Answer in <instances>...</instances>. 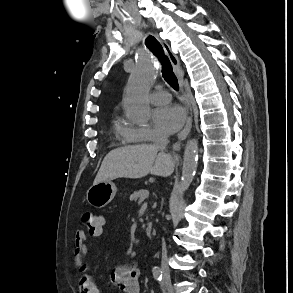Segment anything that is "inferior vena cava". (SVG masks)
<instances>
[{
	"instance_id": "602c4592",
	"label": "inferior vena cava",
	"mask_w": 293,
	"mask_h": 293,
	"mask_svg": "<svg viewBox=\"0 0 293 293\" xmlns=\"http://www.w3.org/2000/svg\"><path fill=\"white\" fill-rule=\"evenodd\" d=\"M168 143V136L166 134H160L157 136V139L154 143V147L164 153V150L166 148V145ZM161 268L163 272H168V259H167V250H166V244L163 239L162 242V261H161Z\"/></svg>"
}]
</instances>
